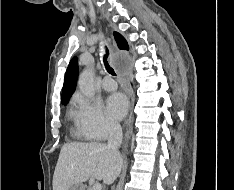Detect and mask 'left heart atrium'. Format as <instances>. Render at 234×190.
<instances>
[{"label": "left heart atrium", "instance_id": "1", "mask_svg": "<svg viewBox=\"0 0 234 190\" xmlns=\"http://www.w3.org/2000/svg\"><path fill=\"white\" fill-rule=\"evenodd\" d=\"M106 108L113 119H121L128 110V100L123 94L114 93L108 97Z\"/></svg>", "mask_w": 234, "mask_h": 190}]
</instances>
